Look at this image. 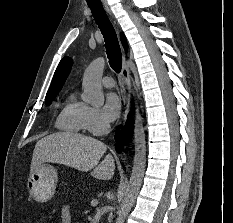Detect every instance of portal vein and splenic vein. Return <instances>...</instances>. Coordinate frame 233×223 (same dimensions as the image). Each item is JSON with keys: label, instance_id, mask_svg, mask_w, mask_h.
I'll return each mask as SVG.
<instances>
[{"label": "portal vein and splenic vein", "instance_id": "18ae733b", "mask_svg": "<svg viewBox=\"0 0 233 223\" xmlns=\"http://www.w3.org/2000/svg\"><path fill=\"white\" fill-rule=\"evenodd\" d=\"M99 202H92L91 201V205H98Z\"/></svg>", "mask_w": 233, "mask_h": 223}]
</instances>
